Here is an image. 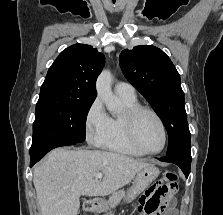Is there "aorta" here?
<instances>
[{
  "instance_id": "aorta-1",
  "label": "aorta",
  "mask_w": 223,
  "mask_h": 215,
  "mask_svg": "<svg viewBox=\"0 0 223 215\" xmlns=\"http://www.w3.org/2000/svg\"><path fill=\"white\" fill-rule=\"evenodd\" d=\"M112 74L109 70H103L100 76L97 78L96 90L98 98L104 102L105 106L109 111H117L119 108L120 100L117 96L112 94Z\"/></svg>"
}]
</instances>
